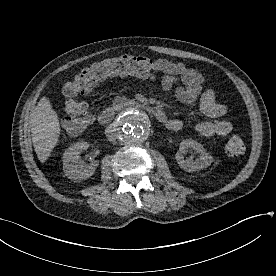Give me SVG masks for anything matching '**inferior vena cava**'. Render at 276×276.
Returning <instances> with one entry per match:
<instances>
[{
	"mask_svg": "<svg viewBox=\"0 0 276 276\" xmlns=\"http://www.w3.org/2000/svg\"><path fill=\"white\" fill-rule=\"evenodd\" d=\"M105 133L109 141H115L118 137L117 128L115 124H110L105 130Z\"/></svg>",
	"mask_w": 276,
	"mask_h": 276,
	"instance_id": "602c4592",
	"label": "inferior vena cava"
}]
</instances>
